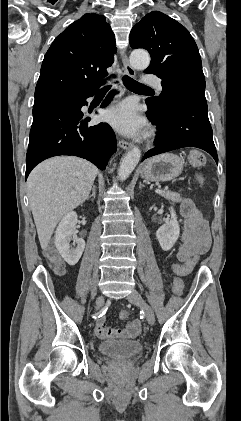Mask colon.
<instances>
[{
    "label": "colon",
    "instance_id": "1",
    "mask_svg": "<svg viewBox=\"0 0 241 421\" xmlns=\"http://www.w3.org/2000/svg\"><path fill=\"white\" fill-rule=\"evenodd\" d=\"M48 3H54L56 0H47ZM189 163L196 168H202L206 164V157L203 153L199 151H192L189 154ZM200 182H203L202 176H198ZM47 260L50 266L57 272H63V262L54 249H48L46 252ZM199 261V256H193L187 260L181 261L180 263H174L171 265V270L175 275L173 280V289L175 293L181 294L183 291V282L180 277L187 275L192 271L197 262ZM130 315L127 311H121L119 313V318L123 321H127Z\"/></svg>",
    "mask_w": 241,
    "mask_h": 421
}]
</instances>
